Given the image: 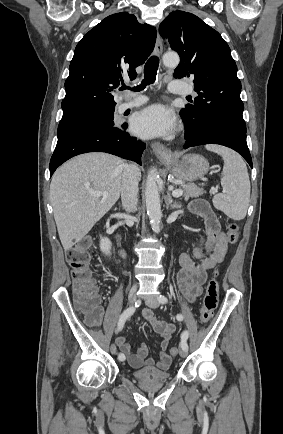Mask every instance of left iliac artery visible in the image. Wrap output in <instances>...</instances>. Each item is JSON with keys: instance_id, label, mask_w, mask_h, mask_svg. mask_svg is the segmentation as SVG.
<instances>
[{"instance_id": "1", "label": "left iliac artery", "mask_w": 283, "mask_h": 434, "mask_svg": "<svg viewBox=\"0 0 283 434\" xmlns=\"http://www.w3.org/2000/svg\"><path fill=\"white\" fill-rule=\"evenodd\" d=\"M158 301L162 304H166L168 302L167 298L164 295H159L158 296ZM176 319L178 321H182L183 320V315L182 314H177L176 315ZM189 333L188 331H183L181 334V348L184 350H188V344H187V339H188Z\"/></svg>"}]
</instances>
